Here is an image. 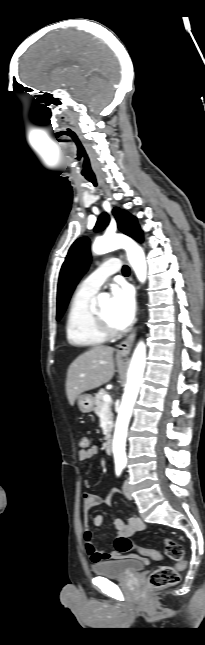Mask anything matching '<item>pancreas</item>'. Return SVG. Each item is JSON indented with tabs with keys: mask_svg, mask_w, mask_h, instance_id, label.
Listing matches in <instances>:
<instances>
[{
	"mask_svg": "<svg viewBox=\"0 0 205 645\" xmlns=\"http://www.w3.org/2000/svg\"><path fill=\"white\" fill-rule=\"evenodd\" d=\"M105 394H107V392H106L104 389L99 390V392H98L97 394H95V408H94V412H95V414H96L97 416H99V415H100V413H101V411H102V408H103V407L105 406V404H106V403L104 402V400H103V396H104ZM107 410H108V411H107V416H108V420H109V423H110V424H109V426H108V428H107V432H108V433L106 434L105 439H107V438L110 436V432H111V430H112V423H113V413H112V411H111V407H110V406H108V409H107Z\"/></svg>",
	"mask_w": 205,
	"mask_h": 645,
	"instance_id": "pancreas-1",
	"label": "pancreas"
}]
</instances>
